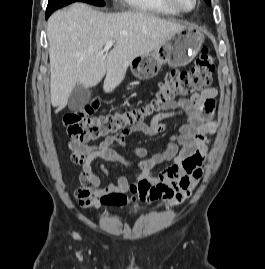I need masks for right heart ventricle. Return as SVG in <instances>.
<instances>
[{
    "label": "right heart ventricle",
    "mask_w": 265,
    "mask_h": 269,
    "mask_svg": "<svg viewBox=\"0 0 265 269\" xmlns=\"http://www.w3.org/2000/svg\"><path fill=\"white\" fill-rule=\"evenodd\" d=\"M130 9L156 14L178 15L180 12L166 5L162 0H122Z\"/></svg>",
    "instance_id": "e07e8e85"
}]
</instances>
